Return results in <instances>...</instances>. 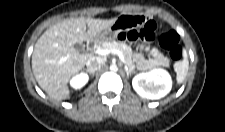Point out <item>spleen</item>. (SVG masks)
I'll use <instances>...</instances> for the list:
<instances>
[{
	"mask_svg": "<svg viewBox=\"0 0 225 132\" xmlns=\"http://www.w3.org/2000/svg\"><path fill=\"white\" fill-rule=\"evenodd\" d=\"M174 70L176 71V80L178 84L183 83L185 80L188 70H189V61L187 58V52L183 50V60L178 61L174 64Z\"/></svg>",
	"mask_w": 225,
	"mask_h": 132,
	"instance_id": "spleen-1",
	"label": "spleen"
}]
</instances>
